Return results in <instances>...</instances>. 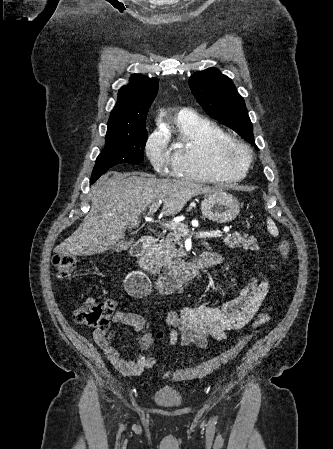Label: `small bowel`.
I'll list each match as a JSON object with an SVG mask.
<instances>
[{"label":"small bowel","instance_id":"small-bowel-1","mask_svg":"<svg viewBox=\"0 0 333 449\" xmlns=\"http://www.w3.org/2000/svg\"><path fill=\"white\" fill-rule=\"evenodd\" d=\"M213 263H220V256L212 254ZM269 293V284L264 278L253 277L231 301L216 306L204 304L199 307H184L179 312H170L166 316L169 330L160 332L157 339H167L170 346L180 344L182 347L195 346L205 348L210 338L225 340L230 331L244 328L251 324V329L261 327L268 320L267 309L262 305ZM88 298L86 301H93ZM114 323L130 326L135 332L144 328V318L136 313L117 311ZM113 330L95 329L93 341L101 348L109 362L124 376H137L144 369L153 368L156 358L153 355L137 354L133 359L122 358L113 345ZM154 337L145 333L140 339V348L150 349Z\"/></svg>","mask_w":333,"mask_h":449}]
</instances>
